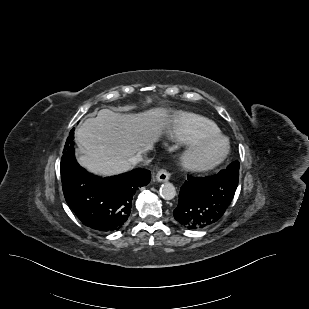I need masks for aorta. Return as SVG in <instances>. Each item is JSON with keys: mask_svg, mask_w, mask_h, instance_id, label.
<instances>
[{"mask_svg": "<svg viewBox=\"0 0 309 309\" xmlns=\"http://www.w3.org/2000/svg\"><path fill=\"white\" fill-rule=\"evenodd\" d=\"M176 195V189L172 183L166 182L160 187V196L165 200H171Z\"/></svg>", "mask_w": 309, "mask_h": 309, "instance_id": "1", "label": "aorta"}]
</instances>
